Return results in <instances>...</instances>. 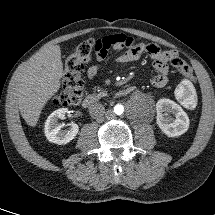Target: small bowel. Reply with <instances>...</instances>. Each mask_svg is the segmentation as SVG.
<instances>
[{
  "label": "small bowel",
  "mask_w": 215,
  "mask_h": 215,
  "mask_svg": "<svg viewBox=\"0 0 215 215\" xmlns=\"http://www.w3.org/2000/svg\"><path fill=\"white\" fill-rule=\"evenodd\" d=\"M97 63L87 69V78L92 81L100 70L101 63L106 59L108 51L125 50L116 58L118 63H129L138 60L143 53L153 60L156 74L151 78L155 88H164L168 83L169 65L177 54L173 51H164L158 45L136 42L132 37L124 34H111L98 38L96 41Z\"/></svg>",
  "instance_id": "obj_1"
}]
</instances>
